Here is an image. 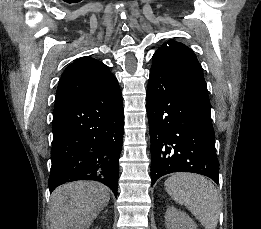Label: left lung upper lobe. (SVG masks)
I'll use <instances>...</instances> for the list:
<instances>
[{
    "label": "left lung upper lobe",
    "mask_w": 261,
    "mask_h": 229,
    "mask_svg": "<svg viewBox=\"0 0 261 229\" xmlns=\"http://www.w3.org/2000/svg\"><path fill=\"white\" fill-rule=\"evenodd\" d=\"M153 68L176 75L204 79L203 69L194 52L182 43L168 41L152 57Z\"/></svg>",
    "instance_id": "obj_1"
}]
</instances>
